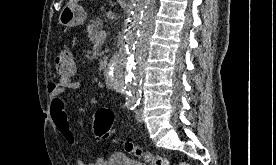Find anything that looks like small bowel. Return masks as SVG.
<instances>
[{
	"label": "small bowel",
	"mask_w": 276,
	"mask_h": 165,
	"mask_svg": "<svg viewBox=\"0 0 276 165\" xmlns=\"http://www.w3.org/2000/svg\"><path fill=\"white\" fill-rule=\"evenodd\" d=\"M81 88V83L72 79H60L58 82H51L48 84V92L50 98V114L51 117L66 142L72 147L76 148L77 143L75 135L71 130L68 115L66 112L65 102L62 95L67 90H76ZM114 158L98 157L91 162H84L79 159L78 165H110Z\"/></svg>",
	"instance_id": "obj_1"
}]
</instances>
